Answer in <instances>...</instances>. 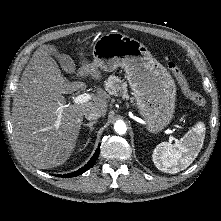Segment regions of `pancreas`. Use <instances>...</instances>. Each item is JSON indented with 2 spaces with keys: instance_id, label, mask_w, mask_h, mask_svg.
Segmentation results:
<instances>
[{
  "instance_id": "1",
  "label": "pancreas",
  "mask_w": 221,
  "mask_h": 221,
  "mask_svg": "<svg viewBox=\"0 0 221 221\" xmlns=\"http://www.w3.org/2000/svg\"><path fill=\"white\" fill-rule=\"evenodd\" d=\"M105 90L111 95H122L123 98H129L127 82L121 79V77L110 76L105 81Z\"/></svg>"
}]
</instances>
